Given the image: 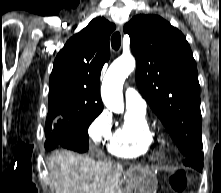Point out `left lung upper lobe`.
Wrapping results in <instances>:
<instances>
[{"instance_id":"1","label":"left lung upper lobe","mask_w":221,"mask_h":193,"mask_svg":"<svg viewBox=\"0 0 221 193\" xmlns=\"http://www.w3.org/2000/svg\"><path fill=\"white\" fill-rule=\"evenodd\" d=\"M136 58V83L184 157L202 150L200 85L184 35L156 15L125 24Z\"/></svg>"}]
</instances>
